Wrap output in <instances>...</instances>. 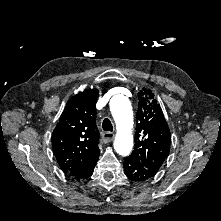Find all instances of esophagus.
Masks as SVG:
<instances>
[{"label": "esophagus", "mask_w": 221, "mask_h": 221, "mask_svg": "<svg viewBox=\"0 0 221 221\" xmlns=\"http://www.w3.org/2000/svg\"><path fill=\"white\" fill-rule=\"evenodd\" d=\"M102 137H103L104 141L111 142L114 139V133H112V132H104Z\"/></svg>", "instance_id": "obj_1"}]
</instances>
